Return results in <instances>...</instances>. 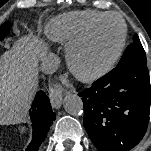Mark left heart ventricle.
Wrapping results in <instances>:
<instances>
[{"mask_svg":"<svg viewBox=\"0 0 151 151\" xmlns=\"http://www.w3.org/2000/svg\"><path fill=\"white\" fill-rule=\"evenodd\" d=\"M122 27L118 20L107 19L102 22L80 55L81 63L87 68L104 64L115 52Z\"/></svg>","mask_w":151,"mask_h":151,"instance_id":"left-heart-ventricle-1","label":"left heart ventricle"}]
</instances>
